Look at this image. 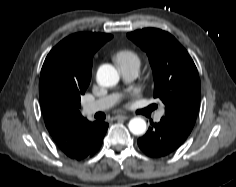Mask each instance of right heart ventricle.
I'll return each mask as SVG.
<instances>
[{"label": "right heart ventricle", "mask_w": 236, "mask_h": 187, "mask_svg": "<svg viewBox=\"0 0 236 187\" xmlns=\"http://www.w3.org/2000/svg\"><path fill=\"white\" fill-rule=\"evenodd\" d=\"M113 59L120 68V70L129 67L139 69L141 65V59L139 55L131 49H121L117 51L114 54Z\"/></svg>", "instance_id": "obj_1"}]
</instances>
